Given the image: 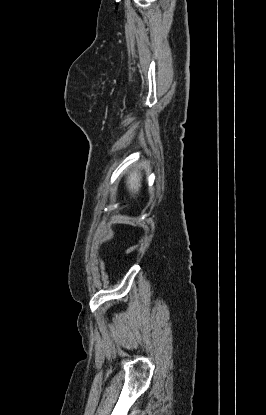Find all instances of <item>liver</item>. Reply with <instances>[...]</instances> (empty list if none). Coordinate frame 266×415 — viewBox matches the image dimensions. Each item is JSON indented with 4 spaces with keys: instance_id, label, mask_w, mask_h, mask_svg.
<instances>
[{
    "instance_id": "1",
    "label": "liver",
    "mask_w": 266,
    "mask_h": 415,
    "mask_svg": "<svg viewBox=\"0 0 266 415\" xmlns=\"http://www.w3.org/2000/svg\"><path fill=\"white\" fill-rule=\"evenodd\" d=\"M141 173L138 171V169H134L130 172V174L127 177L126 183L128 186L129 191L132 194H136L139 191V188L141 187Z\"/></svg>"
}]
</instances>
